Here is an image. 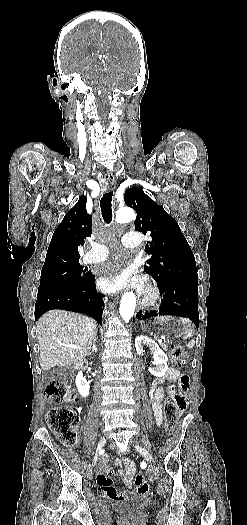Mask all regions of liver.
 <instances>
[{"label":"liver","instance_id":"6515ba94","mask_svg":"<svg viewBox=\"0 0 247 525\" xmlns=\"http://www.w3.org/2000/svg\"><path fill=\"white\" fill-rule=\"evenodd\" d=\"M42 371L53 367H75L90 353L97 323L71 311H47L37 323ZM82 347V349H73Z\"/></svg>","mask_w":247,"mask_h":525}]
</instances>
